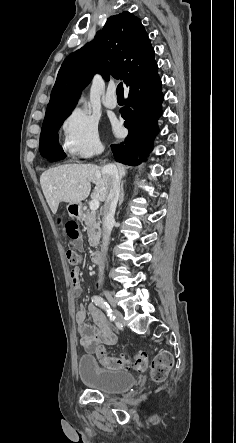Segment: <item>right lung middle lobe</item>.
<instances>
[{"label":"right lung middle lobe","instance_id":"right-lung-middle-lobe-1","mask_svg":"<svg viewBox=\"0 0 236 443\" xmlns=\"http://www.w3.org/2000/svg\"><path fill=\"white\" fill-rule=\"evenodd\" d=\"M70 113L71 111L64 112L44 120L40 136V152L59 145L57 131Z\"/></svg>","mask_w":236,"mask_h":443}]
</instances>
